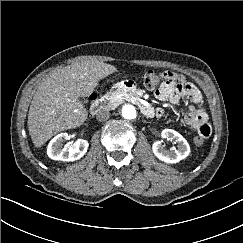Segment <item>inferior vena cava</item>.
Masks as SVG:
<instances>
[{"instance_id": "inferior-vena-cava-1", "label": "inferior vena cava", "mask_w": 243, "mask_h": 243, "mask_svg": "<svg viewBox=\"0 0 243 243\" xmlns=\"http://www.w3.org/2000/svg\"><path fill=\"white\" fill-rule=\"evenodd\" d=\"M110 117V112L108 109H101L96 114V119L98 121H106Z\"/></svg>"}]
</instances>
